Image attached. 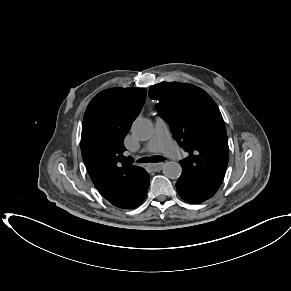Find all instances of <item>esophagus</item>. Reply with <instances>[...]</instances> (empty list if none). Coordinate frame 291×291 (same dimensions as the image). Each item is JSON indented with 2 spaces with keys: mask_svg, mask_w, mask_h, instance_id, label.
<instances>
[{
  "mask_svg": "<svg viewBox=\"0 0 291 291\" xmlns=\"http://www.w3.org/2000/svg\"><path fill=\"white\" fill-rule=\"evenodd\" d=\"M163 166H164V163L150 164V168L154 172L160 171L163 168Z\"/></svg>",
  "mask_w": 291,
  "mask_h": 291,
  "instance_id": "esophagus-1",
  "label": "esophagus"
}]
</instances>
